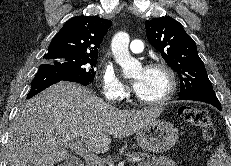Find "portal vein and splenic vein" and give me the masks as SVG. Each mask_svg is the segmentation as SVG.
I'll return each instance as SVG.
<instances>
[{"label":"portal vein and splenic vein","mask_w":231,"mask_h":166,"mask_svg":"<svg viewBox=\"0 0 231 166\" xmlns=\"http://www.w3.org/2000/svg\"><path fill=\"white\" fill-rule=\"evenodd\" d=\"M60 142L64 144L65 146L70 147L71 149L75 150L78 155L83 157L85 161H88L92 166H99L104 162L103 159L91 153L90 150H88L86 147L83 146V139L81 138L62 139L60 140ZM129 161L132 163H138L141 161V158L134 157L130 159Z\"/></svg>","instance_id":"portal-vein-and-splenic-vein-1"}]
</instances>
